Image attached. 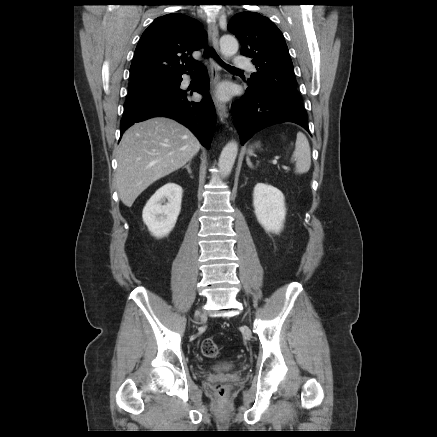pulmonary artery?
<instances>
[{
  "mask_svg": "<svg viewBox=\"0 0 437 437\" xmlns=\"http://www.w3.org/2000/svg\"><path fill=\"white\" fill-rule=\"evenodd\" d=\"M234 66L236 68H243V69H248L250 71L254 70V67L252 65V63L249 61V59L243 57V56H237L234 59Z\"/></svg>",
  "mask_w": 437,
  "mask_h": 437,
  "instance_id": "obj_1",
  "label": "pulmonary artery"
}]
</instances>
